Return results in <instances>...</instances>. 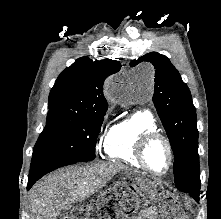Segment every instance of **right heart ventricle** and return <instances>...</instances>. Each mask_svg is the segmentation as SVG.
<instances>
[{
    "label": "right heart ventricle",
    "mask_w": 221,
    "mask_h": 219,
    "mask_svg": "<svg viewBox=\"0 0 221 219\" xmlns=\"http://www.w3.org/2000/svg\"><path fill=\"white\" fill-rule=\"evenodd\" d=\"M147 131H157L155 118L149 111H135L110 127L104 150L108 158L143 168L135 156L138 138Z\"/></svg>",
    "instance_id": "right-heart-ventricle-1"
}]
</instances>
